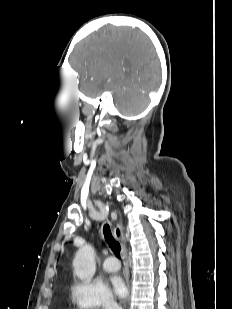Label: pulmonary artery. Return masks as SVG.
<instances>
[{"label":"pulmonary artery","mask_w":232,"mask_h":309,"mask_svg":"<svg viewBox=\"0 0 232 309\" xmlns=\"http://www.w3.org/2000/svg\"><path fill=\"white\" fill-rule=\"evenodd\" d=\"M119 262L112 256L104 259L102 263V268L107 272H115L119 269Z\"/></svg>","instance_id":"obj_1"}]
</instances>
